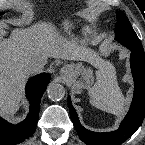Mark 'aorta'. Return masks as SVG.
<instances>
[{"label": "aorta", "mask_w": 145, "mask_h": 145, "mask_svg": "<svg viewBox=\"0 0 145 145\" xmlns=\"http://www.w3.org/2000/svg\"><path fill=\"white\" fill-rule=\"evenodd\" d=\"M47 95L52 101H60L65 96V89L61 84L50 83L47 88Z\"/></svg>", "instance_id": "obj_1"}]
</instances>
